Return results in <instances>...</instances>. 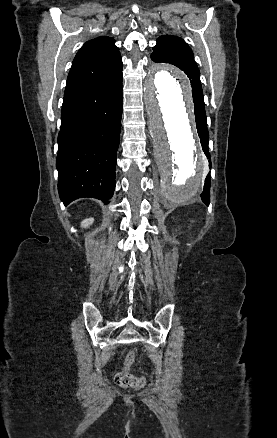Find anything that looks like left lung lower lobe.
<instances>
[{"label": "left lung lower lobe", "instance_id": "0a47b994", "mask_svg": "<svg viewBox=\"0 0 277 438\" xmlns=\"http://www.w3.org/2000/svg\"><path fill=\"white\" fill-rule=\"evenodd\" d=\"M195 119H196L197 132H198V135L200 137L202 149H203L205 155L207 156V158H209V167L211 168L210 154H209V150H208L209 134H208V130H207L206 115H205V113L195 112ZM209 190H210V175H208L206 180H205L204 191L201 195L202 200L206 205H209V202H210Z\"/></svg>", "mask_w": 277, "mask_h": 438}]
</instances>
